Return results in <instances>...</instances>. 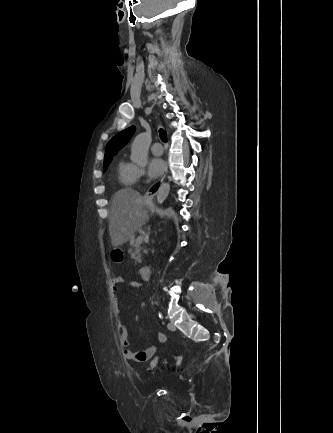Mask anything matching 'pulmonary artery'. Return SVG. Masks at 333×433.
<instances>
[{
	"label": "pulmonary artery",
	"instance_id": "pulmonary-artery-1",
	"mask_svg": "<svg viewBox=\"0 0 333 433\" xmlns=\"http://www.w3.org/2000/svg\"><path fill=\"white\" fill-rule=\"evenodd\" d=\"M151 152L155 156H161L163 153V146L161 145V143H154L151 147Z\"/></svg>",
	"mask_w": 333,
	"mask_h": 433
}]
</instances>
